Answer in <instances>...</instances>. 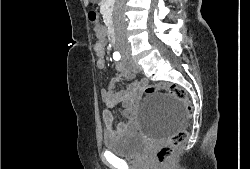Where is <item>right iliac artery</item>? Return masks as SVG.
I'll return each instance as SVG.
<instances>
[{
  "label": "right iliac artery",
  "instance_id": "obj_1",
  "mask_svg": "<svg viewBox=\"0 0 250 169\" xmlns=\"http://www.w3.org/2000/svg\"><path fill=\"white\" fill-rule=\"evenodd\" d=\"M120 57L121 56H120L119 52H114V54H113L114 60L118 61L120 59Z\"/></svg>",
  "mask_w": 250,
  "mask_h": 169
}]
</instances>
